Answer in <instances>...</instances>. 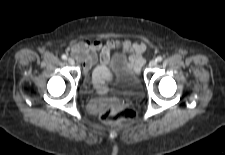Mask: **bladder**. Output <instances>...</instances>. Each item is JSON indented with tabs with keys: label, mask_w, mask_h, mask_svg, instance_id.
I'll list each match as a JSON object with an SVG mask.
<instances>
[{
	"label": "bladder",
	"mask_w": 225,
	"mask_h": 155,
	"mask_svg": "<svg viewBox=\"0 0 225 155\" xmlns=\"http://www.w3.org/2000/svg\"><path fill=\"white\" fill-rule=\"evenodd\" d=\"M109 67L115 77L124 83L130 85V89L134 93L141 92V82L139 77L135 74L132 68L128 65V60L124 54L116 53L109 61Z\"/></svg>",
	"instance_id": "obj_1"
}]
</instances>
